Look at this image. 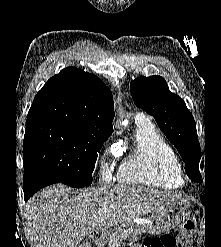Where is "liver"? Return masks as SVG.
<instances>
[{
    "mask_svg": "<svg viewBox=\"0 0 221 247\" xmlns=\"http://www.w3.org/2000/svg\"><path fill=\"white\" fill-rule=\"evenodd\" d=\"M176 197L166 191L127 185L89 188L76 194L57 184L29 200L26 213L43 247H78L89 231L103 232L129 223Z\"/></svg>",
    "mask_w": 221,
    "mask_h": 247,
    "instance_id": "obj_1",
    "label": "liver"
}]
</instances>
